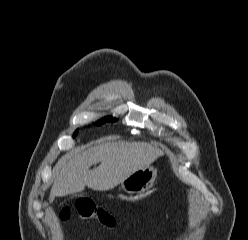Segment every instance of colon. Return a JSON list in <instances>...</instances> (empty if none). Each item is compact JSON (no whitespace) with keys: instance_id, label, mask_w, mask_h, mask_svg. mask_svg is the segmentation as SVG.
<instances>
[{"instance_id":"5ec220e1","label":"colon","mask_w":248,"mask_h":240,"mask_svg":"<svg viewBox=\"0 0 248 240\" xmlns=\"http://www.w3.org/2000/svg\"><path fill=\"white\" fill-rule=\"evenodd\" d=\"M75 214L81 219L93 220L105 228H115L120 220L105 208L95 205L94 202L82 199L76 202L74 207H65L60 213V218L64 221Z\"/></svg>"}]
</instances>
